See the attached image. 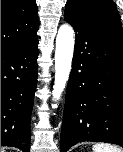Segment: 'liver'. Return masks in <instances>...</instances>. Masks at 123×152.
Returning <instances> with one entry per match:
<instances>
[{"mask_svg":"<svg viewBox=\"0 0 123 152\" xmlns=\"http://www.w3.org/2000/svg\"><path fill=\"white\" fill-rule=\"evenodd\" d=\"M1 152H5V149L1 148Z\"/></svg>","mask_w":123,"mask_h":152,"instance_id":"6515ba94","label":"liver"}]
</instances>
